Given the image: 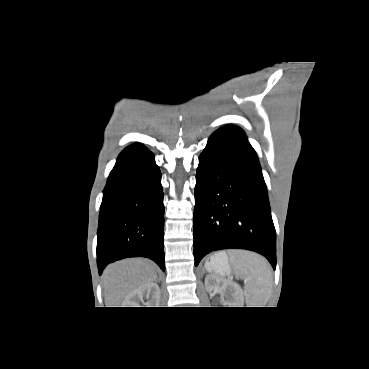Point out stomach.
I'll use <instances>...</instances> for the list:
<instances>
[{
    "label": "stomach",
    "mask_w": 369,
    "mask_h": 369,
    "mask_svg": "<svg viewBox=\"0 0 369 369\" xmlns=\"http://www.w3.org/2000/svg\"><path fill=\"white\" fill-rule=\"evenodd\" d=\"M205 268L209 272L219 275H228L231 273V267L225 252L214 254L209 260L206 261Z\"/></svg>",
    "instance_id": "stomach-1"
}]
</instances>
